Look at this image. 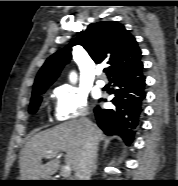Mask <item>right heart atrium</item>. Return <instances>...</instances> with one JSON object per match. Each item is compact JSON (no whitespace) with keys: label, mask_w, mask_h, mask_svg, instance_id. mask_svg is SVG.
Listing matches in <instances>:
<instances>
[{"label":"right heart atrium","mask_w":178,"mask_h":186,"mask_svg":"<svg viewBox=\"0 0 178 186\" xmlns=\"http://www.w3.org/2000/svg\"><path fill=\"white\" fill-rule=\"evenodd\" d=\"M54 95L57 120L68 121L88 114V96L84 91L76 87L64 86L55 89Z\"/></svg>","instance_id":"right-heart-atrium-1"}]
</instances>
